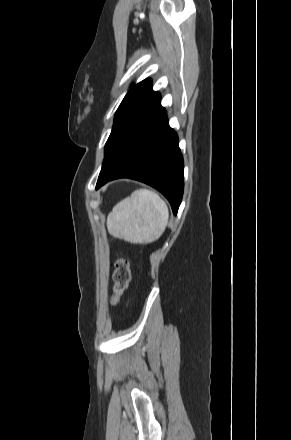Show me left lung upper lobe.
<instances>
[{"instance_id": "left-lung-upper-lobe-1", "label": "left lung upper lobe", "mask_w": 291, "mask_h": 440, "mask_svg": "<svg viewBox=\"0 0 291 440\" xmlns=\"http://www.w3.org/2000/svg\"><path fill=\"white\" fill-rule=\"evenodd\" d=\"M159 96L158 92L152 90L150 79L141 81L128 91L116 111L114 125L105 145V155L123 130Z\"/></svg>"}]
</instances>
